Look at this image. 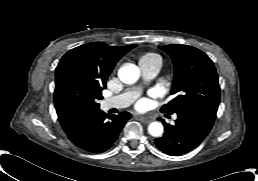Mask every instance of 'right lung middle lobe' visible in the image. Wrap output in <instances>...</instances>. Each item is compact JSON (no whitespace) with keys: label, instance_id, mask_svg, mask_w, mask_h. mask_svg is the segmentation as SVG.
<instances>
[{"label":"right lung middle lobe","instance_id":"1","mask_svg":"<svg viewBox=\"0 0 258 181\" xmlns=\"http://www.w3.org/2000/svg\"><path fill=\"white\" fill-rule=\"evenodd\" d=\"M102 89L84 76L76 66H67L56 76V111L68 108H99L98 100L103 98Z\"/></svg>","mask_w":258,"mask_h":181}]
</instances>
